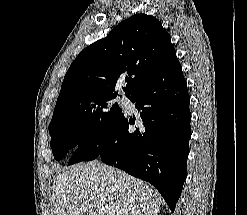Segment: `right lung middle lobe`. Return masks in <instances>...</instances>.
I'll use <instances>...</instances> for the list:
<instances>
[{"label":"right lung middle lobe","mask_w":247,"mask_h":215,"mask_svg":"<svg viewBox=\"0 0 247 215\" xmlns=\"http://www.w3.org/2000/svg\"><path fill=\"white\" fill-rule=\"evenodd\" d=\"M117 95H98L66 105L53 113L49 125L54 159L61 160L80 143L103 132L121 114Z\"/></svg>","instance_id":"right-lung-middle-lobe-1"}]
</instances>
